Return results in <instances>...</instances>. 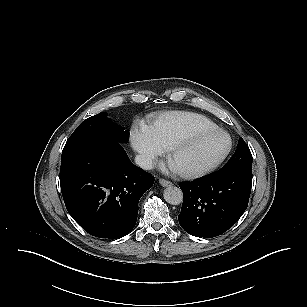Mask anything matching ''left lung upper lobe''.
Returning <instances> with one entry per match:
<instances>
[{"label":"left lung upper lobe","instance_id":"obj_1","mask_svg":"<svg viewBox=\"0 0 307 307\" xmlns=\"http://www.w3.org/2000/svg\"><path fill=\"white\" fill-rule=\"evenodd\" d=\"M230 171H252V155L248 145L240 138L237 149L229 161L218 170L217 174Z\"/></svg>","mask_w":307,"mask_h":307}]
</instances>
